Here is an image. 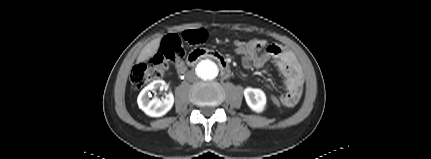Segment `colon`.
Segmentation results:
<instances>
[{
	"label": "colon",
	"mask_w": 431,
	"mask_h": 159,
	"mask_svg": "<svg viewBox=\"0 0 431 159\" xmlns=\"http://www.w3.org/2000/svg\"><path fill=\"white\" fill-rule=\"evenodd\" d=\"M206 32L204 30H191L181 35L170 34L166 36L160 45L159 52L146 62L136 65L130 75V81L135 89H140L146 84L155 81L169 69L172 63L185 56L186 45H196L204 42ZM233 54H243L244 47H233ZM269 101L277 105V97L269 96ZM278 109L281 107L278 106Z\"/></svg>",
	"instance_id": "1"
}]
</instances>
